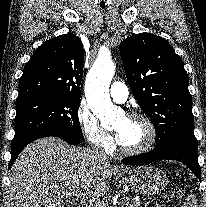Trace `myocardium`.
Wrapping results in <instances>:
<instances>
[{"label":"myocardium","instance_id":"myocardium-1","mask_svg":"<svg viewBox=\"0 0 206 207\" xmlns=\"http://www.w3.org/2000/svg\"><path fill=\"white\" fill-rule=\"evenodd\" d=\"M128 120H140L142 121L147 129H148V138L147 141L145 142L144 145L134 148V149H129L125 148L119 141H118V146L121 150V152L127 156H137L141 154H145L148 151H150L157 139V128L156 125L154 124L153 120L146 114L140 113V112H133L130 113L126 116Z\"/></svg>","mask_w":206,"mask_h":207}]
</instances>
